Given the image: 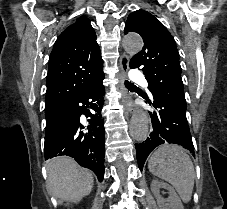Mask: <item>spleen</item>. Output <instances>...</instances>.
<instances>
[{
  "instance_id": "1",
  "label": "spleen",
  "mask_w": 227,
  "mask_h": 209,
  "mask_svg": "<svg viewBox=\"0 0 227 209\" xmlns=\"http://www.w3.org/2000/svg\"><path fill=\"white\" fill-rule=\"evenodd\" d=\"M152 175L170 183L183 203L191 201L195 183L193 163L178 145H161L148 161Z\"/></svg>"
}]
</instances>
